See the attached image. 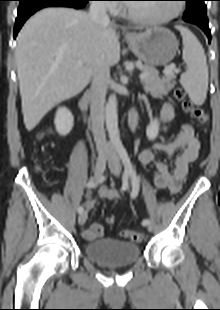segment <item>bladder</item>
<instances>
[{
    "instance_id": "obj_1",
    "label": "bladder",
    "mask_w": 220,
    "mask_h": 310,
    "mask_svg": "<svg viewBox=\"0 0 220 310\" xmlns=\"http://www.w3.org/2000/svg\"><path fill=\"white\" fill-rule=\"evenodd\" d=\"M85 256L101 266H128L140 257V247L127 241L100 238L84 246Z\"/></svg>"
}]
</instances>
